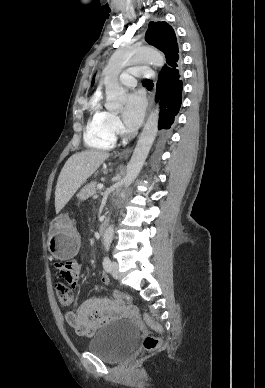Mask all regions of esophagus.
I'll return each mask as SVG.
<instances>
[{"label": "esophagus", "mask_w": 265, "mask_h": 388, "mask_svg": "<svg viewBox=\"0 0 265 388\" xmlns=\"http://www.w3.org/2000/svg\"><path fill=\"white\" fill-rule=\"evenodd\" d=\"M150 108H151V105L149 106L148 108V112H147V115L150 111ZM132 147L130 148H127L126 150L122 151L121 153L118 154L119 158H125L131 151H132Z\"/></svg>", "instance_id": "1"}]
</instances>
